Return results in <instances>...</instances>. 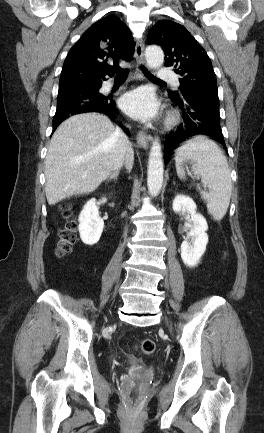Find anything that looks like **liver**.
I'll list each match as a JSON object with an SVG mask.
<instances>
[{
  "label": "liver",
  "instance_id": "liver-1",
  "mask_svg": "<svg viewBox=\"0 0 264 433\" xmlns=\"http://www.w3.org/2000/svg\"><path fill=\"white\" fill-rule=\"evenodd\" d=\"M115 130L110 119L99 113L72 116L57 128L45 160V193L50 206L95 191L115 171ZM133 160L130 144L125 164L128 171Z\"/></svg>",
  "mask_w": 264,
  "mask_h": 433
}]
</instances>
